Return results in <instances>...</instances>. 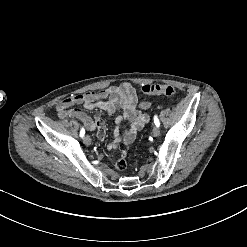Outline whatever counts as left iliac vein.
<instances>
[{"label": "left iliac vein", "mask_w": 247, "mask_h": 247, "mask_svg": "<svg viewBox=\"0 0 247 247\" xmlns=\"http://www.w3.org/2000/svg\"><path fill=\"white\" fill-rule=\"evenodd\" d=\"M152 135H153L154 137H159V135H160V129H159V127H157V126H154V127H153Z\"/></svg>", "instance_id": "4c4485c4"}]
</instances>
